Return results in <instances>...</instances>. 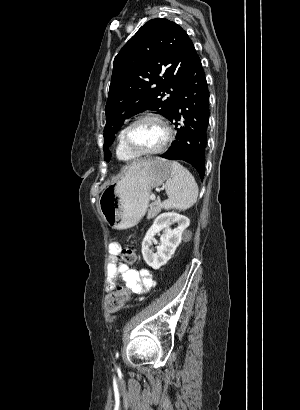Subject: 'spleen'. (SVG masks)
<instances>
[{"label":"spleen","mask_w":300,"mask_h":410,"mask_svg":"<svg viewBox=\"0 0 300 410\" xmlns=\"http://www.w3.org/2000/svg\"><path fill=\"white\" fill-rule=\"evenodd\" d=\"M171 177L166 181L168 199L162 204L166 210H187L198 198V186L193 175L180 163L171 162Z\"/></svg>","instance_id":"3e777b00"}]
</instances>
